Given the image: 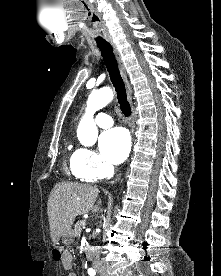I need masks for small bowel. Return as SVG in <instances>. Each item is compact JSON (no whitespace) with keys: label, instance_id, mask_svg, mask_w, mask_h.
I'll return each mask as SVG.
<instances>
[{"label":"small bowel","instance_id":"small-bowel-1","mask_svg":"<svg viewBox=\"0 0 221 276\" xmlns=\"http://www.w3.org/2000/svg\"><path fill=\"white\" fill-rule=\"evenodd\" d=\"M72 255L69 251L64 252L62 258V265L67 271V276H77L76 273L72 270Z\"/></svg>","mask_w":221,"mask_h":276}]
</instances>
